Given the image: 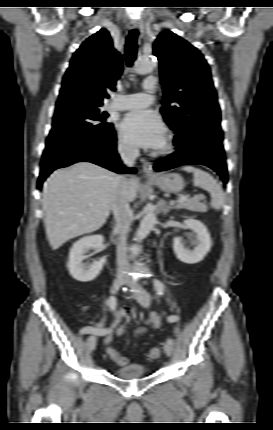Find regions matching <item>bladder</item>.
Wrapping results in <instances>:
<instances>
[{"instance_id":"1","label":"bladder","mask_w":273,"mask_h":430,"mask_svg":"<svg viewBox=\"0 0 273 430\" xmlns=\"http://www.w3.org/2000/svg\"><path fill=\"white\" fill-rule=\"evenodd\" d=\"M145 373L146 368L138 363L126 364L115 371L117 377L127 380L141 378Z\"/></svg>"}]
</instances>
